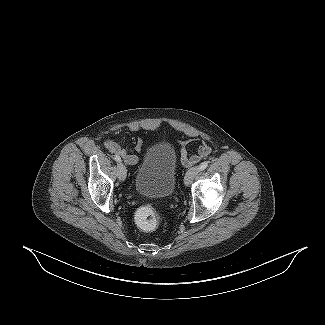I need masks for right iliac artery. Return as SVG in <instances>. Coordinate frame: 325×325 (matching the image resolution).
<instances>
[{"mask_svg":"<svg viewBox=\"0 0 325 325\" xmlns=\"http://www.w3.org/2000/svg\"><path fill=\"white\" fill-rule=\"evenodd\" d=\"M114 159H115L116 162H120V161H121V158H120V156H118V155H115V156H114Z\"/></svg>","mask_w":325,"mask_h":325,"instance_id":"1","label":"right iliac artery"}]
</instances>
